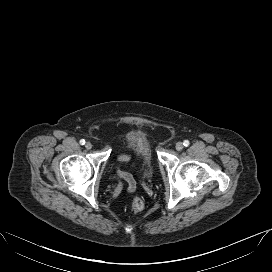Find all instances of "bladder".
<instances>
[{
  "instance_id": "1",
  "label": "bladder",
  "mask_w": 272,
  "mask_h": 272,
  "mask_svg": "<svg viewBox=\"0 0 272 272\" xmlns=\"http://www.w3.org/2000/svg\"><path fill=\"white\" fill-rule=\"evenodd\" d=\"M151 150L147 144L135 143L133 144V162L143 166L140 174L142 180H148L153 175Z\"/></svg>"
}]
</instances>
